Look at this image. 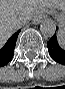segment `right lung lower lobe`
Returning a JSON list of instances; mask_svg holds the SVG:
<instances>
[{
  "instance_id": "1",
  "label": "right lung lower lobe",
  "mask_w": 65,
  "mask_h": 89,
  "mask_svg": "<svg viewBox=\"0 0 65 89\" xmlns=\"http://www.w3.org/2000/svg\"><path fill=\"white\" fill-rule=\"evenodd\" d=\"M19 32L0 44V67L6 65L12 59Z\"/></svg>"
}]
</instances>
